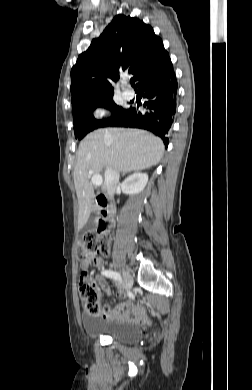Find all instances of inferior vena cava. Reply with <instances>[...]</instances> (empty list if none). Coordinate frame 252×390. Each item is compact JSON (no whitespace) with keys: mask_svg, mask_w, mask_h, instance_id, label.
<instances>
[{"mask_svg":"<svg viewBox=\"0 0 252 390\" xmlns=\"http://www.w3.org/2000/svg\"><path fill=\"white\" fill-rule=\"evenodd\" d=\"M119 184V171L115 168L107 167L105 170V186L107 195L113 199Z\"/></svg>","mask_w":252,"mask_h":390,"instance_id":"obj_1","label":"inferior vena cava"}]
</instances>
